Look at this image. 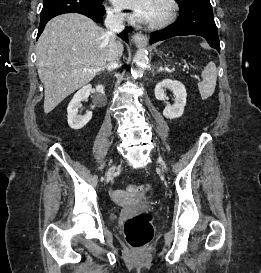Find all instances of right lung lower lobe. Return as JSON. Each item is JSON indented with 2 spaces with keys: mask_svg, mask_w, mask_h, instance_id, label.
<instances>
[{
  "mask_svg": "<svg viewBox=\"0 0 261 273\" xmlns=\"http://www.w3.org/2000/svg\"><path fill=\"white\" fill-rule=\"evenodd\" d=\"M64 13H81L95 22H99L102 20L106 11L102 2L96 0H44L37 37L43 32L45 24L50 19ZM119 36L128 42L126 31L120 33Z\"/></svg>",
  "mask_w": 261,
  "mask_h": 273,
  "instance_id": "right-lung-lower-lobe-1",
  "label": "right lung lower lobe"
}]
</instances>
